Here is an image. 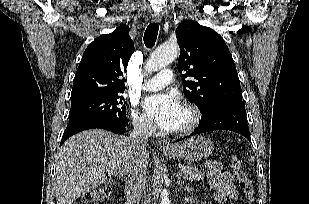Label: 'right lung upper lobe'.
<instances>
[{"mask_svg": "<svg viewBox=\"0 0 309 204\" xmlns=\"http://www.w3.org/2000/svg\"><path fill=\"white\" fill-rule=\"evenodd\" d=\"M133 52L134 44L125 24L96 38L85 50L75 74L71 104L123 92V74Z\"/></svg>", "mask_w": 309, "mask_h": 204, "instance_id": "right-lung-upper-lobe-1", "label": "right lung upper lobe"}]
</instances>
